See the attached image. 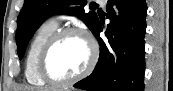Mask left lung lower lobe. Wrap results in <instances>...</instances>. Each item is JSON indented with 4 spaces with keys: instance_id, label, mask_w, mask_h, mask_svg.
Returning <instances> with one entry per match:
<instances>
[{
    "instance_id": "obj_1",
    "label": "left lung lower lobe",
    "mask_w": 173,
    "mask_h": 91,
    "mask_svg": "<svg viewBox=\"0 0 173 91\" xmlns=\"http://www.w3.org/2000/svg\"><path fill=\"white\" fill-rule=\"evenodd\" d=\"M104 42L98 21L93 33L100 44V57L93 73L74 87L89 91H143L145 72V0H108Z\"/></svg>"
}]
</instances>
